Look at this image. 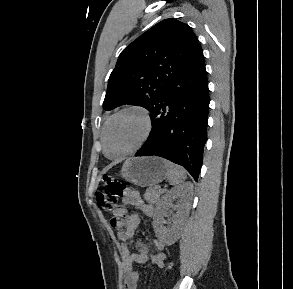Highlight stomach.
Wrapping results in <instances>:
<instances>
[{"instance_id": "obj_1", "label": "stomach", "mask_w": 293, "mask_h": 289, "mask_svg": "<svg viewBox=\"0 0 293 289\" xmlns=\"http://www.w3.org/2000/svg\"><path fill=\"white\" fill-rule=\"evenodd\" d=\"M121 175L130 183L146 187L162 182L167 168L164 160L158 157H133L124 162Z\"/></svg>"}]
</instances>
